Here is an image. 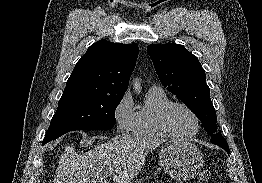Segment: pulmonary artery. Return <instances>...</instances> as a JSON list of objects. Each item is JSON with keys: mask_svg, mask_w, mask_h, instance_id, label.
Here are the masks:
<instances>
[{"mask_svg": "<svg viewBox=\"0 0 262 183\" xmlns=\"http://www.w3.org/2000/svg\"><path fill=\"white\" fill-rule=\"evenodd\" d=\"M152 88H159V89H161L160 87H152Z\"/></svg>", "mask_w": 262, "mask_h": 183, "instance_id": "1", "label": "pulmonary artery"}]
</instances>
